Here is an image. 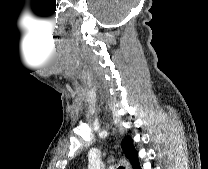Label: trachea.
<instances>
[{
	"instance_id": "1",
	"label": "trachea",
	"mask_w": 208,
	"mask_h": 169,
	"mask_svg": "<svg viewBox=\"0 0 208 169\" xmlns=\"http://www.w3.org/2000/svg\"><path fill=\"white\" fill-rule=\"evenodd\" d=\"M118 169H125V167H123V166H119V168Z\"/></svg>"
}]
</instances>
